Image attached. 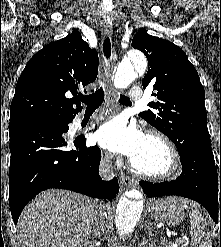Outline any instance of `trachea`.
Masks as SVG:
<instances>
[{
	"instance_id": "3493384b",
	"label": "trachea",
	"mask_w": 221,
	"mask_h": 247,
	"mask_svg": "<svg viewBox=\"0 0 221 247\" xmlns=\"http://www.w3.org/2000/svg\"><path fill=\"white\" fill-rule=\"evenodd\" d=\"M103 51L104 55L107 59L111 56V44L109 37H106L103 43ZM104 90L103 88H100L95 93L89 95V96H83L80 97L79 100L84 102L87 105V110H95L97 109L102 102L104 101ZM119 102L126 106H131L132 103L128 97L125 95L120 94Z\"/></svg>"
}]
</instances>
